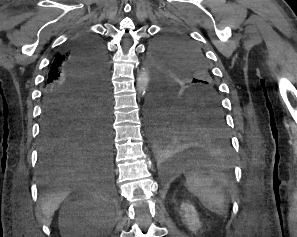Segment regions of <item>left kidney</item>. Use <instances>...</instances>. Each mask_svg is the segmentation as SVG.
I'll use <instances>...</instances> for the list:
<instances>
[{
  "instance_id": "1",
  "label": "left kidney",
  "mask_w": 297,
  "mask_h": 237,
  "mask_svg": "<svg viewBox=\"0 0 297 237\" xmlns=\"http://www.w3.org/2000/svg\"><path fill=\"white\" fill-rule=\"evenodd\" d=\"M181 210H183V222L187 225L188 229L196 233L201 228V222L198 213L192 204L182 203Z\"/></svg>"
}]
</instances>
